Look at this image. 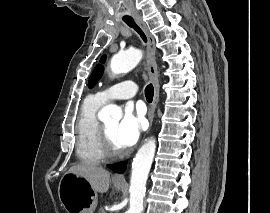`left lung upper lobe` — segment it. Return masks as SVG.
Returning a JSON list of instances; mask_svg holds the SVG:
<instances>
[{
	"mask_svg": "<svg viewBox=\"0 0 270 213\" xmlns=\"http://www.w3.org/2000/svg\"><path fill=\"white\" fill-rule=\"evenodd\" d=\"M105 59H106V56L104 55L100 59V62L101 63H104L105 62ZM103 70H104V68L100 64H98L94 68V70H93V72H92V74H91V76L89 78V83H88L89 88H92L98 82V80L101 78V76L103 74Z\"/></svg>",
	"mask_w": 270,
	"mask_h": 213,
	"instance_id": "obj_1",
	"label": "left lung upper lobe"
}]
</instances>
